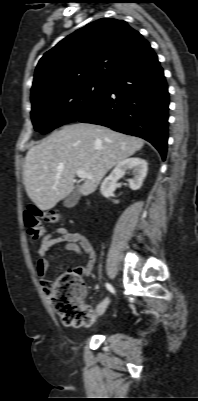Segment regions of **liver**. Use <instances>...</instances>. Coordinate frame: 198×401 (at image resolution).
<instances>
[{
	"mask_svg": "<svg viewBox=\"0 0 198 401\" xmlns=\"http://www.w3.org/2000/svg\"><path fill=\"white\" fill-rule=\"evenodd\" d=\"M143 146V139L107 127L66 125L27 152L23 169L27 195L41 210H49L72 193L76 171L84 170L93 176L79 187V193L87 196L112 167Z\"/></svg>",
	"mask_w": 198,
	"mask_h": 401,
	"instance_id": "obj_1",
	"label": "liver"
}]
</instances>
